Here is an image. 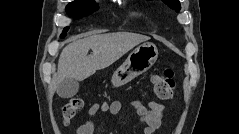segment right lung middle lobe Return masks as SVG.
Returning a JSON list of instances; mask_svg holds the SVG:
<instances>
[{
  "label": "right lung middle lobe",
  "mask_w": 239,
  "mask_h": 134,
  "mask_svg": "<svg viewBox=\"0 0 239 134\" xmlns=\"http://www.w3.org/2000/svg\"><path fill=\"white\" fill-rule=\"evenodd\" d=\"M98 9V5L94 1L90 0H76L74 2L69 3L66 6V11L68 14L75 17H83L91 14L92 12ZM69 30V27H66L62 34L61 38L66 36V32Z\"/></svg>",
  "instance_id": "obj_1"
}]
</instances>
